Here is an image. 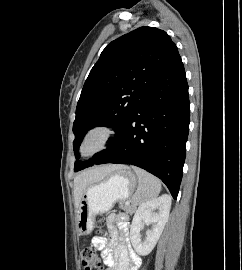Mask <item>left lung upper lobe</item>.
<instances>
[{"label":"left lung upper lobe","mask_w":242,"mask_h":270,"mask_svg":"<svg viewBox=\"0 0 242 270\" xmlns=\"http://www.w3.org/2000/svg\"><path fill=\"white\" fill-rule=\"evenodd\" d=\"M178 57L170 36L154 27H140L109 43L90 71L77 104L73 124L76 158L88 130L111 127L116 137L155 80ZM100 154L88 162L76 161L74 171L88 167Z\"/></svg>","instance_id":"1"}]
</instances>
